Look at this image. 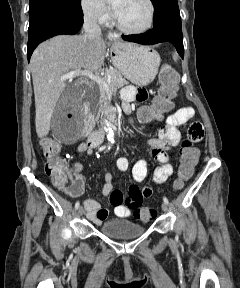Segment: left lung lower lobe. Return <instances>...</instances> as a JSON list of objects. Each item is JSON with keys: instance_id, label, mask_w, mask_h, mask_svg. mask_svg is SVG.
I'll return each instance as SVG.
<instances>
[{"instance_id": "1", "label": "left lung lower lobe", "mask_w": 240, "mask_h": 288, "mask_svg": "<svg viewBox=\"0 0 240 288\" xmlns=\"http://www.w3.org/2000/svg\"><path fill=\"white\" fill-rule=\"evenodd\" d=\"M126 41L136 42L145 45L156 44L160 42L172 43L178 53L184 57L183 48V35L181 23L166 22L160 25L154 26V28L144 34L122 36Z\"/></svg>"}]
</instances>
